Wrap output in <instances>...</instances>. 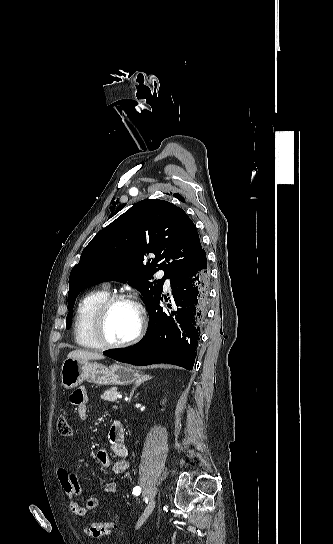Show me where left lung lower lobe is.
I'll return each mask as SVG.
<instances>
[{
	"label": "left lung lower lobe",
	"mask_w": 333,
	"mask_h": 544,
	"mask_svg": "<svg viewBox=\"0 0 333 544\" xmlns=\"http://www.w3.org/2000/svg\"><path fill=\"white\" fill-rule=\"evenodd\" d=\"M170 282L173 304L160 307V296L149 306L150 328L146 336L134 346L107 350L104 355L133 365L169 363L193 368L210 283L204 249ZM165 301L168 302L166 297Z\"/></svg>",
	"instance_id": "left-lung-lower-lobe-1"
}]
</instances>
